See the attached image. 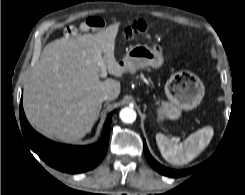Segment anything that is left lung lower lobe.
<instances>
[{"label": "left lung lower lobe", "instance_id": "obj_1", "mask_svg": "<svg viewBox=\"0 0 245 195\" xmlns=\"http://www.w3.org/2000/svg\"><path fill=\"white\" fill-rule=\"evenodd\" d=\"M144 153H145V157L148 161V163L160 174L168 176V177H173V178H177V177H182L185 175H188L192 172H194L196 170L197 167H193V168H189V169H185V170H173V169H169L161 164H159L149 153L148 148L146 146V143L144 141Z\"/></svg>", "mask_w": 245, "mask_h": 195}]
</instances>
